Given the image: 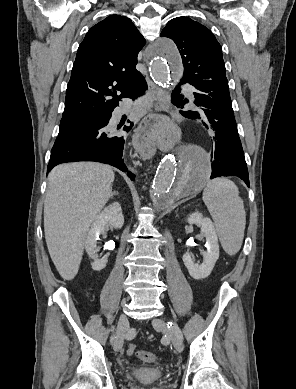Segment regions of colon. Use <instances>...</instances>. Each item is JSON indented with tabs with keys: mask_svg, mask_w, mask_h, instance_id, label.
Instances as JSON below:
<instances>
[{
	"mask_svg": "<svg viewBox=\"0 0 296 389\" xmlns=\"http://www.w3.org/2000/svg\"><path fill=\"white\" fill-rule=\"evenodd\" d=\"M127 354L130 356H137L141 360L148 362V363H153L157 361V357L155 354L149 351H144V350H138L135 345L130 344L127 348Z\"/></svg>",
	"mask_w": 296,
	"mask_h": 389,
	"instance_id": "5ec220e1",
	"label": "colon"
}]
</instances>
